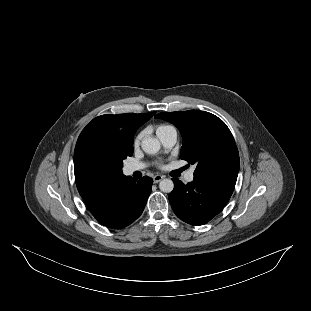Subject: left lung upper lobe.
Instances as JSON below:
<instances>
[{"label":"left lung upper lobe","instance_id":"1","mask_svg":"<svg viewBox=\"0 0 311 311\" xmlns=\"http://www.w3.org/2000/svg\"><path fill=\"white\" fill-rule=\"evenodd\" d=\"M174 124L181 132L180 158L196 164L194 178L237 180L239 154L226 124L217 116L200 110L163 112L155 116Z\"/></svg>","mask_w":311,"mask_h":311}]
</instances>
